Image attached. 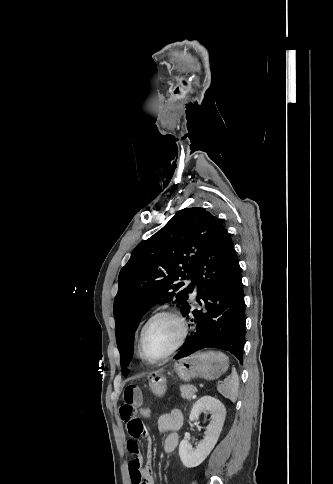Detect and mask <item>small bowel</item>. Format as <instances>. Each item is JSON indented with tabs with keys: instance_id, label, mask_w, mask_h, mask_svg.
Segmentation results:
<instances>
[{
	"instance_id": "small-bowel-1",
	"label": "small bowel",
	"mask_w": 333,
	"mask_h": 484,
	"mask_svg": "<svg viewBox=\"0 0 333 484\" xmlns=\"http://www.w3.org/2000/svg\"><path fill=\"white\" fill-rule=\"evenodd\" d=\"M143 402L140 388L136 385H128L123 392V401L119 407L121 420L126 424L130 439L127 442L128 451L134 455L129 462V472L132 484H155L152 469V440L146 426L138 416V409ZM158 429L166 433L164 450L173 452L179 443L177 431L182 427L183 415L180 410L174 409L163 414L158 419ZM146 438L149 442L147 461L143 464V457L139 449L138 439Z\"/></svg>"
}]
</instances>
